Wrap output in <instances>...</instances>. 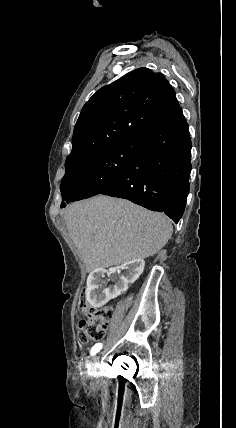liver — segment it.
I'll use <instances>...</instances> for the list:
<instances>
[{
  "label": "liver",
  "instance_id": "1",
  "mask_svg": "<svg viewBox=\"0 0 236 428\" xmlns=\"http://www.w3.org/2000/svg\"><path fill=\"white\" fill-rule=\"evenodd\" d=\"M64 218L87 272L150 258L164 248L173 232L171 220L163 214L110 196L74 202Z\"/></svg>",
  "mask_w": 236,
  "mask_h": 428
}]
</instances>
